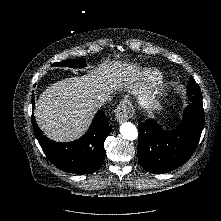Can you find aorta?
I'll list each match as a JSON object with an SVG mask.
<instances>
[{"label":"aorta","mask_w":221,"mask_h":221,"mask_svg":"<svg viewBox=\"0 0 221 221\" xmlns=\"http://www.w3.org/2000/svg\"><path fill=\"white\" fill-rule=\"evenodd\" d=\"M120 133L125 139L130 141H133L138 137L136 126L130 122H124L121 124Z\"/></svg>","instance_id":"1"}]
</instances>
